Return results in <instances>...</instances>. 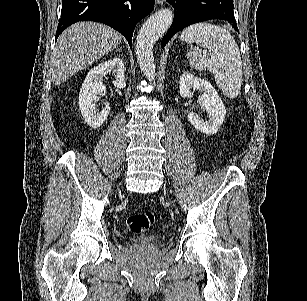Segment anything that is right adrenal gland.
<instances>
[{
    "label": "right adrenal gland",
    "mask_w": 307,
    "mask_h": 301,
    "mask_svg": "<svg viewBox=\"0 0 307 301\" xmlns=\"http://www.w3.org/2000/svg\"><path fill=\"white\" fill-rule=\"evenodd\" d=\"M115 52H122V46H120V48H116Z\"/></svg>",
    "instance_id": "1"
}]
</instances>
